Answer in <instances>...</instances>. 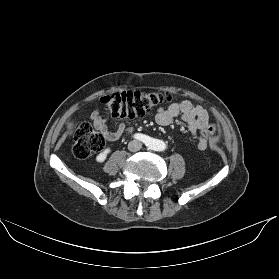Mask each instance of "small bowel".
<instances>
[{
  "instance_id": "c3829d8e",
  "label": "small bowel",
  "mask_w": 279,
  "mask_h": 279,
  "mask_svg": "<svg viewBox=\"0 0 279 279\" xmlns=\"http://www.w3.org/2000/svg\"><path fill=\"white\" fill-rule=\"evenodd\" d=\"M180 116L181 120L187 124L193 136H197L198 132L201 135L198 137L199 150H206L208 147V140L204 133L209 125V114L205 108L195 105L189 100L176 102L170 104L167 108H159L155 116L157 124L161 126L169 125L174 118ZM91 119L95 127L108 140H116L125 135L131 129H126L124 123H120L115 130H109L106 126V120L103 118L99 111L95 110L91 114Z\"/></svg>"
}]
</instances>
